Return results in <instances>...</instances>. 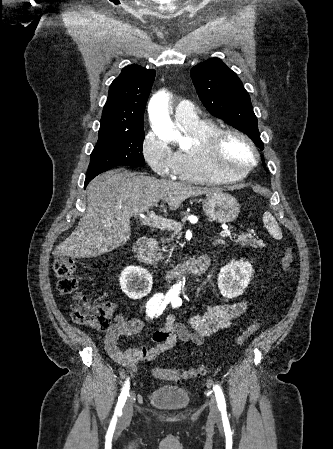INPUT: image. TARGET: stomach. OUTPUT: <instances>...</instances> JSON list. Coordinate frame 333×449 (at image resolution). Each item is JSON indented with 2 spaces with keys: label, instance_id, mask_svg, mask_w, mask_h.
Listing matches in <instances>:
<instances>
[{
  "label": "stomach",
  "instance_id": "1",
  "mask_svg": "<svg viewBox=\"0 0 333 449\" xmlns=\"http://www.w3.org/2000/svg\"><path fill=\"white\" fill-rule=\"evenodd\" d=\"M202 204L205 215L222 224L235 220L240 212L236 198L221 191L208 194Z\"/></svg>",
  "mask_w": 333,
  "mask_h": 449
}]
</instances>
